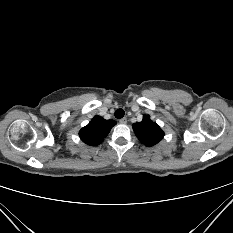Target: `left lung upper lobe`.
I'll use <instances>...</instances> for the list:
<instances>
[{
  "instance_id": "obj_1",
  "label": "left lung upper lobe",
  "mask_w": 233,
  "mask_h": 233,
  "mask_svg": "<svg viewBox=\"0 0 233 233\" xmlns=\"http://www.w3.org/2000/svg\"><path fill=\"white\" fill-rule=\"evenodd\" d=\"M133 130L138 139L146 146H154L164 137L163 130L151 121L149 115H144L141 122L134 123Z\"/></svg>"
}]
</instances>
